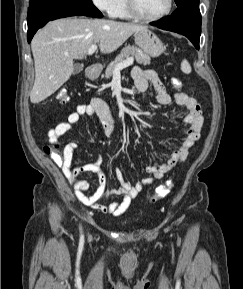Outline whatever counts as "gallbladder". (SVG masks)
<instances>
[{"label": "gallbladder", "instance_id": "bac80fb5", "mask_svg": "<svg viewBox=\"0 0 243 289\" xmlns=\"http://www.w3.org/2000/svg\"><path fill=\"white\" fill-rule=\"evenodd\" d=\"M82 70H83V67L81 65H75L73 74L76 75V74L80 73Z\"/></svg>", "mask_w": 243, "mask_h": 289}]
</instances>
